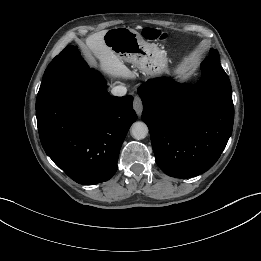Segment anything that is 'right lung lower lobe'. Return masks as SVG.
<instances>
[{
	"label": "right lung lower lobe",
	"instance_id": "98d812e1",
	"mask_svg": "<svg viewBox=\"0 0 261 261\" xmlns=\"http://www.w3.org/2000/svg\"><path fill=\"white\" fill-rule=\"evenodd\" d=\"M93 69L66 79L36 103L41 144L71 179L84 185L109 180L126 134L136 121L133 97H109Z\"/></svg>",
	"mask_w": 261,
	"mask_h": 261
}]
</instances>
